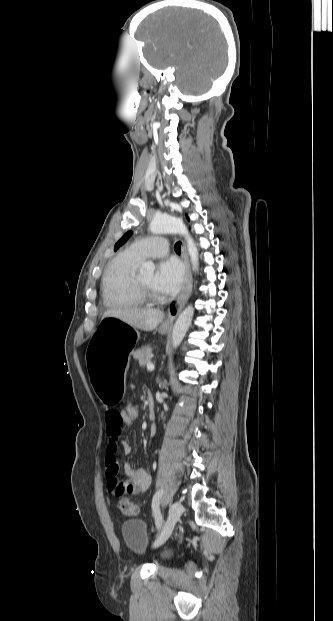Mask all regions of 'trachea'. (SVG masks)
I'll list each match as a JSON object with an SVG mask.
<instances>
[{
	"instance_id": "obj_1",
	"label": "trachea",
	"mask_w": 333,
	"mask_h": 621,
	"mask_svg": "<svg viewBox=\"0 0 333 621\" xmlns=\"http://www.w3.org/2000/svg\"><path fill=\"white\" fill-rule=\"evenodd\" d=\"M180 248H181V242H177V243L175 244V246H174L175 251H176L177 253H179V252H180Z\"/></svg>"
}]
</instances>
